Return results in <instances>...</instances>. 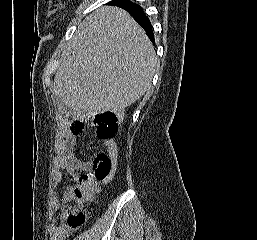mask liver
Here are the masks:
<instances>
[{
    "label": "liver",
    "instance_id": "liver-1",
    "mask_svg": "<svg viewBox=\"0 0 257 240\" xmlns=\"http://www.w3.org/2000/svg\"><path fill=\"white\" fill-rule=\"evenodd\" d=\"M157 57L147 34L123 9L88 16L64 49L53 94L74 117L124 109L150 88Z\"/></svg>",
    "mask_w": 257,
    "mask_h": 240
}]
</instances>
